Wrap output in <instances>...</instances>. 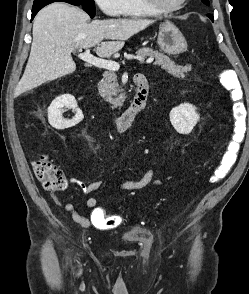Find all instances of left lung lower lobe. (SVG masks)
I'll return each instance as SVG.
<instances>
[{
  "label": "left lung lower lobe",
  "mask_w": 249,
  "mask_h": 294,
  "mask_svg": "<svg viewBox=\"0 0 249 294\" xmlns=\"http://www.w3.org/2000/svg\"><path fill=\"white\" fill-rule=\"evenodd\" d=\"M208 17H209L212 21H214V17H213L212 15H208Z\"/></svg>",
  "instance_id": "left-lung-lower-lobe-1"
}]
</instances>
